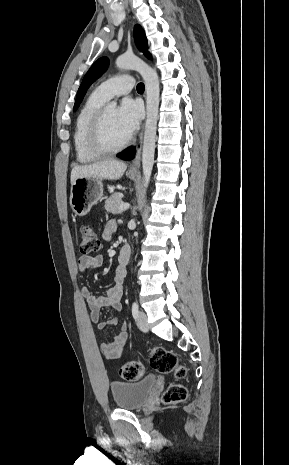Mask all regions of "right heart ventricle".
<instances>
[{"instance_id":"obj_1","label":"right heart ventricle","mask_w":289,"mask_h":465,"mask_svg":"<svg viewBox=\"0 0 289 465\" xmlns=\"http://www.w3.org/2000/svg\"><path fill=\"white\" fill-rule=\"evenodd\" d=\"M95 90L81 107L75 121L73 132V145L76 158L81 163H89L97 160L101 155L93 152L88 144V130L90 122L105 102Z\"/></svg>"}]
</instances>
